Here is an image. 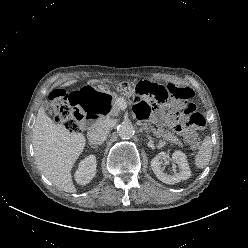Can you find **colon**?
Wrapping results in <instances>:
<instances>
[{
  "mask_svg": "<svg viewBox=\"0 0 248 248\" xmlns=\"http://www.w3.org/2000/svg\"><path fill=\"white\" fill-rule=\"evenodd\" d=\"M117 89L128 94L137 104L150 102L151 105H168L175 111H181L188 116L187 126L190 129L188 140L193 149L198 148L200 140L195 130L205 126L204 116L196 111V107L189 101L192 93L187 88L168 85L158 86L148 82H139L132 86L127 82L120 83ZM70 94L64 89L55 90L50 95L52 113L55 119L71 132L81 127L84 112L74 109L70 103Z\"/></svg>",
  "mask_w": 248,
  "mask_h": 248,
  "instance_id": "obj_1",
  "label": "colon"
}]
</instances>
